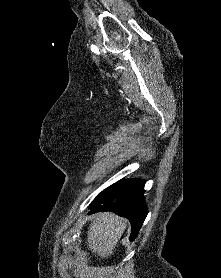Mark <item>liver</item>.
<instances>
[{"label":"liver","instance_id":"6515ba94","mask_svg":"<svg viewBox=\"0 0 221 278\" xmlns=\"http://www.w3.org/2000/svg\"><path fill=\"white\" fill-rule=\"evenodd\" d=\"M126 226V220L113 213L93 215L87 238L89 249L101 258L111 256Z\"/></svg>","mask_w":221,"mask_h":278}]
</instances>
